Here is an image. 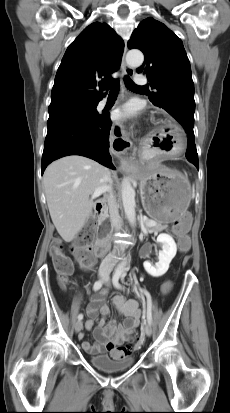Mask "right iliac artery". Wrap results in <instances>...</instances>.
Masks as SVG:
<instances>
[{
    "instance_id": "right-iliac-artery-1",
    "label": "right iliac artery",
    "mask_w": 230,
    "mask_h": 413,
    "mask_svg": "<svg viewBox=\"0 0 230 413\" xmlns=\"http://www.w3.org/2000/svg\"><path fill=\"white\" fill-rule=\"evenodd\" d=\"M104 281H105L104 279L96 281V282L94 283V285H93V290H94V291L99 290V289L102 287ZM82 319H83V315H82V314H79V315H78V320H82Z\"/></svg>"
}]
</instances>
